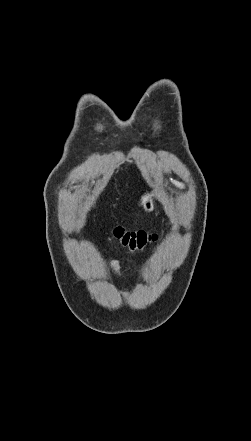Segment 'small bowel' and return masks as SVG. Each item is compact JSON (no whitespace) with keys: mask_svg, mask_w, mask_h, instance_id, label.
Wrapping results in <instances>:
<instances>
[{"mask_svg":"<svg viewBox=\"0 0 251 441\" xmlns=\"http://www.w3.org/2000/svg\"><path fill=\"white\" fill-rule=\"evenodd\" d=\"M119 270V262L117 260H111L108 265V272L111 276H115Z\"/></svg>","mask_w":251,"mask_h":441,"instance_id":"c3829d8e","label":"small bowel"}]
</instances>
